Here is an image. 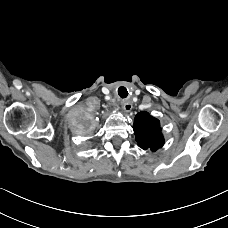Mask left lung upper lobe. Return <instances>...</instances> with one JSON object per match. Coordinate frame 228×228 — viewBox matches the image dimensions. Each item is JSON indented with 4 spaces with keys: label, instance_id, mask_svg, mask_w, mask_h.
<instances>
[{
    "label": "left lung upper lobe",
    "instance_id": "left-lung-upper-lobe-1",
    "mask_svg": "<svg viewBox=\"0 0 228 228\" xmlns=\"http://www.w3.org/2000/svg\"><path fill=\"white\" fill-rule=\"evenodd\" d=\"M133 129L136 141L142 149L150 148L152 151H156L163 146L164 138L161 133L160 122L149 113L145 111L138 113Z\"/></svg>",
    "mask_w": 228,
    "mask_h": 228
}]
</instances>
